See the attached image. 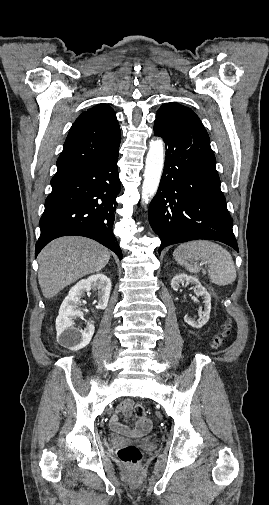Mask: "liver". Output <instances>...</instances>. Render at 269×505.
Returning a JSON list of instances; mask_svg holds the SVG:
<instances>
[{"mask_svg": "<svg viewBox=\"0 0 269 505\" xmlns=\"http://www.w3.org/2000/svg\"><path fill=\"white\" fill-rule=\"evenodd\" d=\"M110 260L107 248L85 237H61L38 255V281L45 298L87 274L99 272Z\"/></svg>", "mask_w": 269, "mask_h": 505, "instance_id": "1", "label": "liver"}]
</instances>
